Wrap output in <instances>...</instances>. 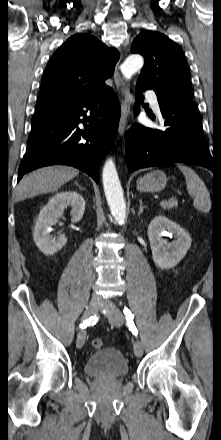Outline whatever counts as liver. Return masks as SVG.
I'll use <instances>...</instances> for the list:
<instances>
[{
	"instance_id": "obj_1",
	"label": "liver",
	"mask_w": 221,
	"mask_h": 440,
	"mask_svg": "<svg viewBox=\"0 0 221 440\" xmlns=\"http://www.w3.org/2000/svg\"><path fill=\"white\" fill-rule=\"evenodd\" d=\"M69 166H51L33 171L22 178L16 189V199L23 200L39 194L57 191L63 184L78 175Z\"/></svg>"
}]
</instances>
